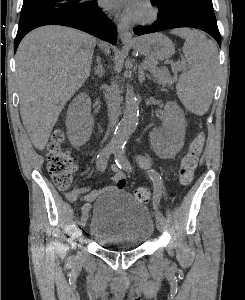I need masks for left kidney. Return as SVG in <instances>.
<instances>
[{
  "mask_svg": "<svg viewBox=\"0 0 245 300\" xmlns=\"http://www.w3.org/2000/svg\"><path fill=\"white\" fill-rule=\"evenodd\" d=\"M163 117V128L151 132V140L157 153L173 157L184 144L185 115L176 103L168 102L164 107Z\"/></svg>",
  "mask_w": 245,
  "mask_h": 300,
  "instance_id": "5707ae66",
  "label": "left kidney"
}]
</instances>
